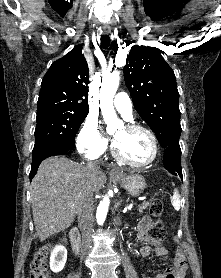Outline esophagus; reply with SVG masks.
Instances as JSON below:
<instances>
[{"mask_svg": "<svg viewBox=\"0 0 221 278\" xmlns=\"http://www.w3.org/2000/svg\"><path fill=\"white\" fill-rule=\"evenodd\" d=\"M103 33L106 35V34H109L110 33V29H104L103 30ZM110 175H112V176H118V175H120V172L118 171V170H116V169H111L110 170Z\"/></svg>", "mask_w": 221, "mask_h": 278, "instance_id": "34e87169", "label": "esophagus"}]
</instances>
